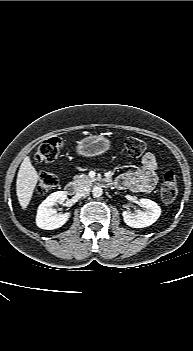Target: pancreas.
Here are the masks:
<instances>
[{"mask_svg": "<svg viewBox=\"0 0 193 351\" xmlns=\"http://www.w3.org/2000/svg\"><path fill=\"white\" fill-rule=\"evenodd\" d=\"M74 179V183L76 185H82V184H90L92 182L95 181L94 178H90L89 176L85 175V174H81V175H75L73 177Z\"/></svg>", "mask_w": 193, "mask_h": 351, "instance_id": "1", "label": "pancreas"}]
</instances>
